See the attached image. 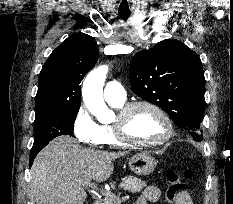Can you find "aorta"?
<instances>
[{"mask_svg": "<svg viewBox=\"0 0 233 204\" xmlns=\"http://www.w3.org/2000/svg\"><path fill=\"white\" fill-rule=\"evenodd\" d=\"M108 73V66L101 65L86 76L83 87L82 97L89 112L101 123L110 122L114 114L108 109L103 98V85Z\"/></svg>", "mask_w": 233, "mask_h": 204, "instance_id": "762f6f07", "label": "aorta"}]
</instances>
